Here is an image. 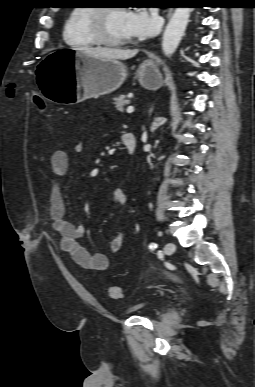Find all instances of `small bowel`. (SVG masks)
Returning a JSON list of instances; mask_svg holds the SVG:
<instances>
[{"mask_svg": "<svg viewBox=\"0 0 255 387\" xmlns=\"http://www.w3.org/2000/svg\"><path fill=\"white\" fill-rule=\"evenodd\" d=\"M73 154H81L84 145L77 142L73 146ZM70 154L66 150L55 151L50 158V174L47 178L49 195V215L52 228L59 237L60 248L68 253L73 261L87 270L104 271L109 266V256L117 253L124 242V234L119 231L111 240L108 253H90L81 246L78 239L83 237L85 228L83 225L73 223L65 219L66 207L62 193L60 177L68 171ZM111 200L117 204H125L126 195L121 187H115L111 192Z\"/></svg>", "mask_w": 255, "mask_h": 387, "instance_id": "obj_1", "label": "small bowel"}]
</instances>
